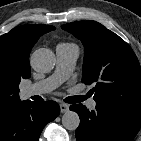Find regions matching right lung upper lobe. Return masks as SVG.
<instances>
[{"label":"right lung upper lobe","instance_id":"1","mask_svg":"<svg viewBox=\"0 0 141 141\" xmlns=\"http://www.w3.org/2000/svg\"><path fill=\"white\" fill-rule=\"evenodd\" d=\"M50 25L27 24L0 36V83H13L30 77L29 54L43 34L54 30ZM18 92L12 90L0 99V114L20 104Z\"/></svg>","mask_w":141,"mask_h":141}]
</instances>
